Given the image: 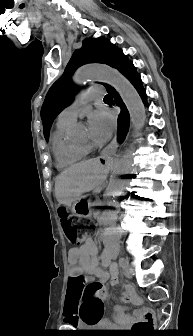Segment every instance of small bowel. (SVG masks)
I'll return each instance as SVG.
<instances>
[{
	"label": "small bowel",
	"instance_id": "1",
	"mask_svg": "<svg viewBox=\"0 0 193 336\" xmlns=\"http://www.w3.org/2000/svg\"><path fill=\"white\" fill-rule=\"evenodd\" d=\"M114 255L112 249H105L99 256L97 246L90 237L84 240V243L77 248L69 251V280L67 289V304L64 310V317L68 324H73L79 318V305L81 302V294L79 292L78 282L82 279L81 275L86 277H95L100 282L109 281L114 286L119 283V272L117 266L111 262ZM109 269V272L105 270ZM121 298L125 301H136L134 289L131 285H127L125 291L121 294ZM114 320L117 324H123L133 319L126 314L124 308L116 306L113 309ZM102 325H109L107 320H101Z\"/></svg>",
	"mask_w": 193,
	"mask_h": 336
}]
</instances>
